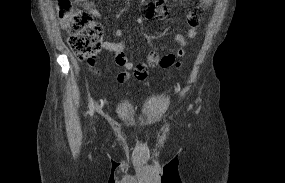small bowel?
I'll return each mask as SVG.
<instances>
[{
	"mask_svg": "<svg viewBox=\"0 0 285 183\" xmlns=\"http://www.w3.org/2000/svg\"><path fill=\"white\" fill-rule=\"evenodd\" d=\"M84 9H86L93 17L100 18V11L95 7L94 2L92 0H77ZM200 6L203 9H208L213 0H198ZM166 16V9L163 4L156 3L147 12L146 18L148 20L157 18L163 19ZM201 15L197 11H192L188 14V30L187 33L177 34L174 38L175 44L177 46L176 50L172 53H169L164 56H160L157 52L151 50L148 52L146 59L135 65V62L132 58H130L126 54V43L123 40L118 42H103V48L114 54L115 62L120 67L126 70L136 69L137 67H142L145 70V75L142 80H145L148 75V69L154 68H167L175 63V61L179 58H182L185 55V48L188 44V39H195L199 32V24H200ZM115 35L120 37L123 35V31L121 29L115 30ZM90 70L95 74H100V71L95 67L94 61L90 62ZM135 71V70H134ZM135 75V74H134ZM131 77L129 72H121L117 76V80L121 83L126 82Z\"/></svg>",
	"mask_w": 285,
	"mask_h": 183,
	"instance_id": "1",
	"label": "small bowel"
}]
</instances>
